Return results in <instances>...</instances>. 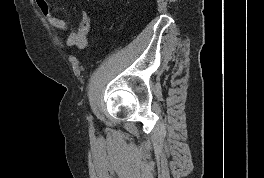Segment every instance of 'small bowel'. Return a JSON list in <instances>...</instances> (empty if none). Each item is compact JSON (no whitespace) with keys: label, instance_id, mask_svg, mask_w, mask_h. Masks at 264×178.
Here are the masks:
<instances>
[{"label":"small bowel","instance_id":"obj_1","mask_svg":"<svg viewBox=\"0 0 264 178\" xmlns=\"http://www.w3.org/2000/svg\"><path fill=\"white\" fill-rule=\"evenodd\" d=\"M35 2L42 15L47 19L48 23L52 27L63 31L68 30L67 22L57 17L53 13L51 6L47 0H35Z\"/></svg>","mask_w":264,"mask_h":178}]
</instances>
